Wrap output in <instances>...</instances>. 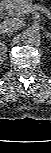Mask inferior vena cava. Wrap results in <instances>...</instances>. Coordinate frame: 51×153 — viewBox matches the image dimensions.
<instances>
[{"instance_id": "inferior-vena-cava-1", "label": "inferior vena cava", "mask_w": 51, "mask_h": 153, "mask_svg": "<svg viewBox=\"0 0 51 153\" xmlns=\"http://www.w3.org/2000/svg\"><path fill=\"white\" fill-rule=\"evenodd\" d=\"M23 26V21L19 18H9L6 19L1 24V32L7 33V32H13L15 30L20 29Z\"/></svg>"}]
</instances>
